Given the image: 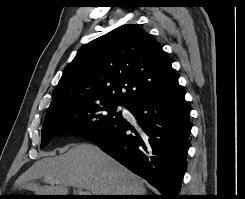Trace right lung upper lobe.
I'll return each instance as SVG.
<instances>
[{
    "label": "right lung upper lobe",
    "mask_w": 245,
    "mask_h": 199,
    "mask_svg": "<svg viewBox=\"0 0 245 199\" xmlns=\"http://www.w3.org/2000/svg\"><path fill=\"white\" fill-rule=\"evenodd\" d=\"M177 82L161 45L141 27L122 25L78 51L64 69L46 116L79 104L127 106Z\"/></svg>",
    "instance_id": "obj_1"
}]
</instances>
